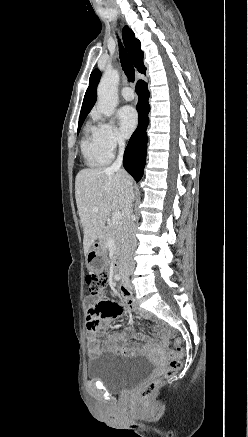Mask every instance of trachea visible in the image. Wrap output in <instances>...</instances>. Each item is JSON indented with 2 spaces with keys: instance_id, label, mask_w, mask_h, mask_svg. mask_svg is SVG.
I'll list each match as a JSON object with an SVG mask.
<instances>
[{
  "instance_id": "trachea-1",
  "label": "trachea",
  "mask_w": 248,
  "mask_h": 437,
  "mask_svg": "<svg viewBox=\"0 0 248 437\" xmlns=\"http://www.w3.org/2000/svg\"><path fill=\"white\" fill-rule=\"evenodd\" d=\"M118 42H119V54H120L121 66H122L123 71H124L125 75L127 76L128 80L130 82H133L135 80L134 67H133L124 47L122 46L121 41L119 40Z\"/></svg>"
}]
</instances>
